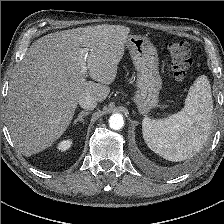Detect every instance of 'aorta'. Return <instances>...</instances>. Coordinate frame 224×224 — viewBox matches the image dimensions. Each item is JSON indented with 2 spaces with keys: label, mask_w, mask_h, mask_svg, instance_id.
<instances>
[{
  "label": "aorta",
  "mask_w": 224,
  "mask_h": 224,
  "mask_svg": "<svg viewBox=\"0 0 224 224\" xmlns=\"http://www.w3.org/2000/svg\"><path fill=\"white\" fill-rule=\"evenodd\" d=\"M109 125L114 130H119L124 125V119L121 114H113L109 119Z\"/></svg>",
  "instance_id": "1"
}]
</instances>
